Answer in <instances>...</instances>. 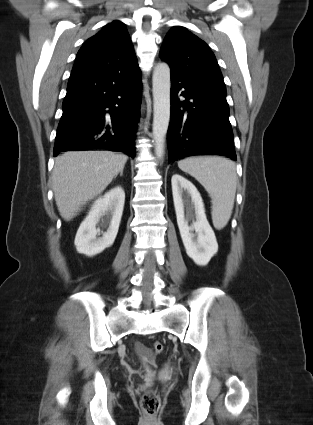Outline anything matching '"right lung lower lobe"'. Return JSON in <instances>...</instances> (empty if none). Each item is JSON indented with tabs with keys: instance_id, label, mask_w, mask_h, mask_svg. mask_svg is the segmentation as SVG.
Instances as JSON below:
<instances>
[{
	"instance_id": "obj_1",
	"label": "right lung lower lobe",
	"mask_w": 313,
	"mask_h": 425,
	"mask_svg": "<svg viewBox=\"0 0 313 425\" xmlns=\"http://www.w3.org/2000/svg\"><path fill=\"white\" fill-rule=\"evenodd\" d=\"M141 72L105 68L72 71L54 156L79 149H108L134 157V128L141 104Z\"/></svg>"
}]
</instances>
